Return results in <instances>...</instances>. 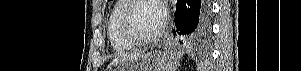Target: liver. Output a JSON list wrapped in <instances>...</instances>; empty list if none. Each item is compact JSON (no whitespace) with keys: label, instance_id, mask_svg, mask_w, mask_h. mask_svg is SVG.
Returning a JSON list of instances; mask_svg holds the SVG:
<instances>
[{"label":"liver","instance_id":"1","mask_svg":"<svg viewBox=\"0 0 301 71\" xmlns=\"http://www.w3.org/2000/svg\"><path fill=\"white\" fill-rule=\"evenodd\" d=\"M144 53H145V51L143 50V51L134 52V53H130V54H122V55H119L117 58H115V59L109 64V67H110V66H114V65H116V64H118L119 62L124 61V60L137 58V57L143 55Z\"/></svg>","mask_w":301,"mask_h":71}]
</instances>
